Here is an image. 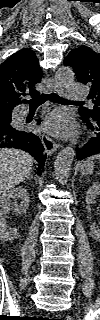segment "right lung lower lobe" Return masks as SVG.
<instances>
[{"label": "right lung lower lobe", "mask_w": 100, "mask_h": 320, "mask_svg": "<svg viewBox=\"0 0 100 320\" xmlns=\"http://www.w3.org/2000/svg\"><path fill=\"white\" fill-rule=\"evenodd\" d=\"M0 147L24 150L36 159L41 168L44 166L46 158L43 155L44 147L41 139L27 129L13 128L10 123L2 126L0 129ZM38 175H41L40 169L38 170Z\"/></svg>", "instance_id": "right-lung-lower-lobe-1"}]
</instances>
